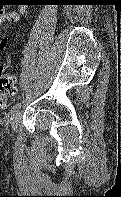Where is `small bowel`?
Instances as JSON below:
<instances>
[{
	"mask_svg": "<svg viewBox=\"0 0 121 197\" xmlns=\"http://www.w3.org/2000/svg\"><path fill=\"white\" fill-rule=\"evenodd\" d=\"M26 12L25 6H20L18 11H8L6 8L0 6V24L8 21L16 23L20 20L21 16ZM7 46V40L3 39L0 43V51L4 50Z\"/></svg>",
	"mask_w": 121,
	"mask_h": 197,
	"instance_id": "1",
	"label": "small bowel"
}]
</instances>
